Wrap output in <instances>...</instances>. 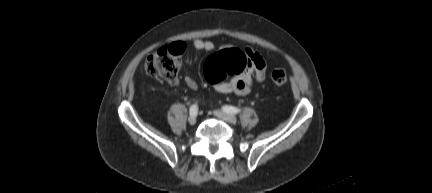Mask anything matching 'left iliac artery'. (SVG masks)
Instances as JSON below:
<instances>
[{"mask_svg":"<svg viewBox=\"0 0 432 193\" xmlns=\"http://www.w3.org/2000/svg\"><path fill=\"white\" fill-rule=\"evenodd\" d=\"M223 111L229 114H238L240 109L234 106L225 105L222 107Z\"/></svg>","mask_w":432,"mask_h":193,"instance_id":"left-iliac-artery-1","label":"left iliac artery"}]
</instances>
